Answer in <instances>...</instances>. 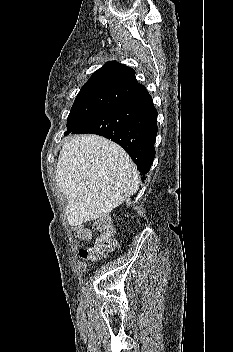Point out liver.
I'll list each match as a JSON object with an SVG mask.
<instances>
[{"label": "liver", "mask_w": 233, "mask_h": 352, "mask_svg": "<svg viewBox=\"0 0 233 352\" xmlns=\"http://www.w3.org/2000/svg\"><path fill=\"white\" fill-rule=\"evenodd\" d=\"M56 181L68 200L65 212L74 226L109 214L139 188L129 155L97 135H79L64 143Z\"/></svg>", "instance_id": "6515ba94"}]
</instances>
